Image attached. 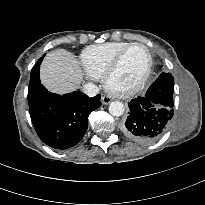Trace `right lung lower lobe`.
<instances>
[{"label":"right lung lower lobe","mask_w":205,"mask_h":205,"mask_svg":"<svg viewBox=\"0 0 205 205\" xmlns=\"http://www.w3.org/2000/svg\"><path fill=\"white\" fill-rule=\"evenodd\" d=\"M43 57L31 70L28 89L29 112L39 138L56 149L76 145L88 127V116L100 107L101 95L89 98L81 92L62 96L41 85L39 68Z\"/></svg>","instance_id":"right-lung-lower-lobe-1"}]
</instances>
